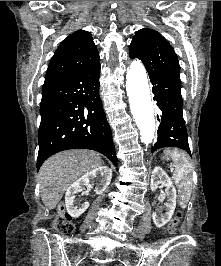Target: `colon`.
Instances as JSON below:
<instances>
[{
  "label": "colon",
  "instance_id": "obj_1",
  "mask_svg": "<svg viewBox=\"0 0 221 266\" xmlns=\"http://www.w3.org/2000/svg\"><path fill=\"white\" fill-rule=\"evenodd\" d=\"M181 221V213L177 212L175 217L171 220L168 225V230L173 232ZM55 228L61 234H70L74 230V225L72 223L71 217L64 213L63 209L58 214L55 220Z\"/></svg>",
  "mask_w": 221,
  "mask_h": 266
}]
</instances>
